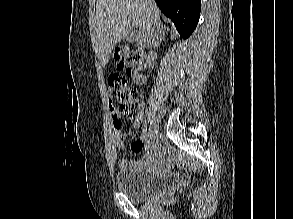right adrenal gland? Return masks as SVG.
Masks as SVG:
<instances>
[{"label":"right adrenal gland","instance_id":"obj_1","mask_svg":"<svg viewBox=\"0 0 293 219\" xmlns=\"http://www.w3.org/2000/svg\"><path fill=\"white\" fill-rule=\"evenodd\" d=\"M163 35H164V32L162 33V35H161L160 39H162V38H163Z\"/></svg>","mask_w":293,"mask_h":219}]
</instances>
